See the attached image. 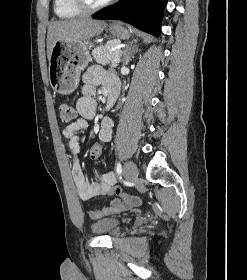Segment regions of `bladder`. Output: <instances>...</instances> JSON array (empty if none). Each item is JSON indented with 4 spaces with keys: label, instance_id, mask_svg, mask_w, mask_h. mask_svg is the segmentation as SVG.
<instances>
[{
    "label": "bladder",
    "instance_id": "obj_1",
    "mask_svg": "<svg viewBox=\"0 0 247 280\" xmlns=\"http://www.w3.org/2000/svg\"><path fill=\"white\" fill-rule=\"evenodd\" d=\"M120 224V221L117 219L106 218L93 223L91 230L98 235H111L119 229Z\"/></svg>",
    "mask_w": 247,
    "mask_h": 280
}]
</instances>
